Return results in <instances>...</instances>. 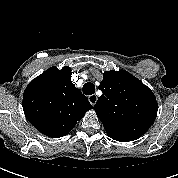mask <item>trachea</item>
<instances>
[{
	"label": "trachea",
	"instance_id": "1",
	"mask_svg": "<svg viewBox=\"0 0 178 178\" xmlns=\"http://www.w3.org/2000/svg\"><path fill=\"white\" fill-rule=\"evenodd\" d=\"M82 90L85 95H92L95 93V86L93 83L87 82L84 84Z\"/></svg>",
	"mask_w": 178,
	"mask_h": 178
}]
</instances>
